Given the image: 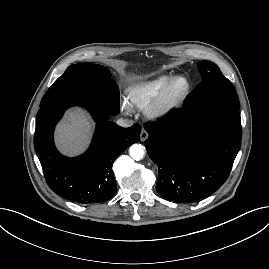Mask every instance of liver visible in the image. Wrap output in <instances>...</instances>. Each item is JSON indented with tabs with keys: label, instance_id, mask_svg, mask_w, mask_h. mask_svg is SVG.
I'll list each match as a JSON object with an SVG mask.
<instances>
[{
	"label": "liver",
	"instance_id": "1",
	"mask_svg": "<svg viewBox=\"0 0 269 269\" xmlns=\"http://www.w3.org/2000/svg\"><path fill=\"white\" fill-rule=\"evenodd\" d=\"M93 124L80 109L67 112L56 129V143L66 155L74 156L82 152L91 135Z\"/></svg>",
	"mask_w": 269,
	"mask_h": 269
}]
</instances>
